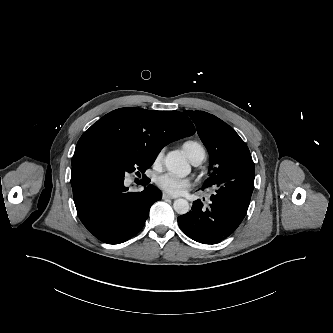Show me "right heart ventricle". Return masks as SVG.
<instances>
[{
    "instance_id": "1",
    "label": "right heart ventricle",
    "mask_w": 333,
    "mask_h": 333,
    "mask_svg": "<svg viewBox=\"0 0 333 333\" xmlns=\"http://www.w3.org/2000/svg\"><path fill=\"white\" fill-rule=\"evenodd\" d=\"M182 149L191 162L199 156L205 155L204 147L199 142L194 140L185 141L182 144Z\"/></svg>"
}]
</instances>
